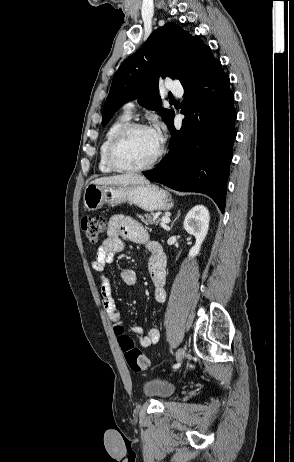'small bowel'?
<instances>
[{
  "label": "small bowel",
  "mask_w": 294,
  "mask_h": 462,
  "mask_svg": "<svg viewBox=\"0 0 294 462\" xmlns=\"http://www.w3.org/2000/svg\"><path fill=\"white\" fill-rule=\"evenodd\" d=\"M122 239L142 244L151 253L148 268L154 287L153 298L158 303H162L166 299V257L161 245L150 240L145 228L133 218L124 215H115L110 218L107 226V237L101 243L91 266L98 273L105 311L115 326L124 327V321L112 297L111 279L104 274L105 266L113 261L117 253L125 249V243ZM120 279L125 285L133 286L136 283V274L132 269L125 268L120 272ZM130 331L138 335L139 343L143 348L158 343L160 338L159 330L154 326L149 327L146 333L140 326H132Z\"/></svg>",
  "instance_id": "obj_1"
}]
</instances>
